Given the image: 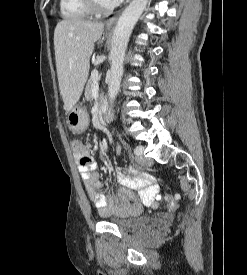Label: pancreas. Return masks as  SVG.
Listing matches in <instances>:
<instances>
[{
	"label": "pancreas",
	"instance_id": "cf45deb5",
	"mask_svg": "<svg viewBox=\"0 0 247 275\" xmlns=\"http://www.w3.org/2000/svg\"><path fill=\"white\" fill-rule=\"evenodd\" d=\"M94 86H95V79L91 76L85 88V98L87 101H90L92 99Z\"/></svg>",
	"mask_w": 247,
	"mask_h": 275
}]
</instances>
